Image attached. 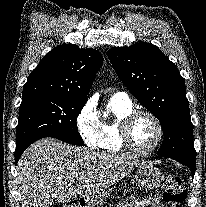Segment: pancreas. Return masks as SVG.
Returning a JSON list of instances; mask_svg holds the SVG:
<instances>
[{
    "mask_svg": "<svg viewBox=\"0 0 206 207\" xmlns=\"http://www.w3.org/2000/svg\"><path fill=\"white\" fill-rule=\"evenodd\" d=\"M132 206H133L132 200H127L124 203H120L117 205V207H132Z\"/></svg>",
    "mask_w": 206,
    "mask_h": 207,
    "instance_id": "obj_1",
    "label": "pancreas"
}]
</instances>
